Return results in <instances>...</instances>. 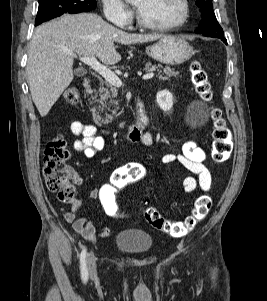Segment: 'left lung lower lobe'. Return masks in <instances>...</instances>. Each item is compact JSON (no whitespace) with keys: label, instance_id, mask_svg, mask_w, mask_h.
<instances>
[{"label":"left lung lower lobe","instance_id":"0a47b994","mask_svg":"<svg viewBox=\"0 0 267 301\" xmlns=\"http://www.w3.org/2000/svg\"><path fill=\"white\" fill-rule=\"evenodd\" d=\"M218 38H220L224 43L227 44V40L224 37H218Z\"/></svg>","mask_w":267,"mask_h":301}]
</instances>
